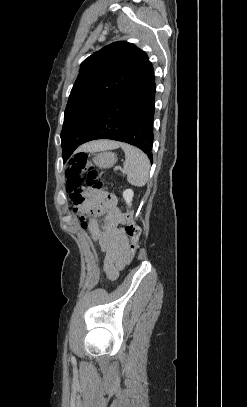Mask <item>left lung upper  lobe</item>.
Instances as JSON below:
<instances>
[{
	"mask_svg": "<svg viewBox=\"0 0 247 407\" xmlns=\"http://www.w3.org/2000/svg\"><path fill=\"white\" fill-rule=\"evenodd\" d=\"M150 64L147 54L122 41L83 61L64 112L63 162L71 156L111 101Z\"/></svg>",
	"mask_w": 247,
	"mask_h": 407,
	"instance_id": "5c2ea615",
	"label": "left lung upper lobe"
}]
</instances>
